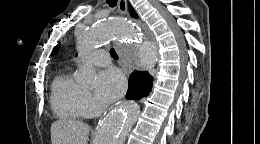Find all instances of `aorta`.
Wrapping results in <instances>:
<instances>
[{
	"label": "aorta",
	"mask_w": 260,
	"mask_h": 144,
	"mask_svg": "<svg viewBox=\"0 0 260 144\" xmlns=\"http://www.w3.org/2000/svg\"><path fill=\"white\" fill-rule=\"evenodd\" d=\"M115 39L128 40L130 45L125 56L130 61L137 59L134 44L139 43L141 35L137 27L128 21L118 19L101 21L89 29L77 34V49L83 55H89L99 44H107ZM144 66H151L152 59L145 57L141 60ZM78 80L86 86L95 84L96 72L94 67L86 62L80 69ZM139 105L133 101L125 102L107 114L99 123L95 144H125V140L137 122Z\"/></svg>",
	"instance_id": "obj_1"
}]
</instances>
